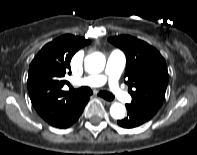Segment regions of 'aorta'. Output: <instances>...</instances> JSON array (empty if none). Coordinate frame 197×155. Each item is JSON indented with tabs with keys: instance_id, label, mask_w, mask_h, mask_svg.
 <instances>
[{
	"instance_id": "obj_1",
	"label": "aorta",
	"mask_w": 197,
	"mask_h": 155,
	"mask_svg": "<svg viewBox=\"0 0 197 155\" xmlns=\"http://www.w3.org/2000/svg\"><path fill=\"white\" fill-rule=\"evenodd\" d=\"M105 67V57L102 53L95 52L85 58V70L90 74L100 73ZM126 108L120 103H114L110 107V114L114 119L125 117Z\"/></svg>"
}]
</instances>
